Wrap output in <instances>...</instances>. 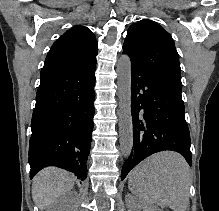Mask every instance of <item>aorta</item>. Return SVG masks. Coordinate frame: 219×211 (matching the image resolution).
<instances>
[{"label": "aorta", "mask_w": 219, "mask_h": 211, "mask_svg": "<svg viewBox=\"0 0 219 211\" xmlns=\"http://www.w3.org/2000/svg\"><path fill=\"white\" fill-rule=\"evenodd\" d=\"M117 88L119 99V142L122 155L128 159L133 148V124L131 114V61L122 55L117 63Z\"/></svg>", "instance_id": "1"}]
</instances>
